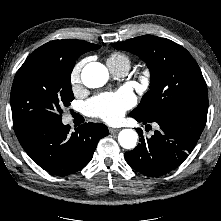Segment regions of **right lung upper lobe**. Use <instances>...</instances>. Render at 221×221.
<instances>
[{"mask_svg":"<svg viewBox=\"0 0 221 221\" xmlns=\"http://www.w3.org/2000/svg\"><path fill=\"white\" fill-rule=\"evenodd\" d=\"M98 48H100L99 45L82 40L66 39L50 41L39 47L38 50L62 51L67 52L70 55H82L85 52L93 51Z\"/></svg>","mask_w":221,"mask_h":221,"instance_id":"obj_1","label":"right lung upper lobe"}]
</instances>
